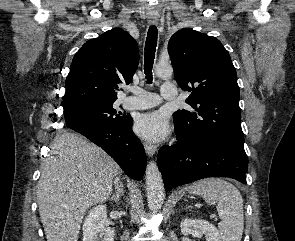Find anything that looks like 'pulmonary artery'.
<instances>
[{
    "label": "pulmonary artery",
    "mask_w": 295,
    "mask_h": 241,
    "mask_svg": "<svg viewBox=\"0 0 295 241\" xmlns=\"http://www.w3.org/2000/svg\"><path fill=\"white\" fill-rule=\"evenodd\" d=\"M133 96L127 97L124 106L127 109H147L158 105L163 99L173 100L177 96V89L173 83H164L160 94L145 91L143 89L132 90Z\"/></svg>",
    "instance_id": "1"
}]
</instances>
